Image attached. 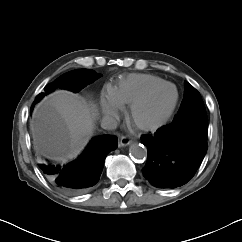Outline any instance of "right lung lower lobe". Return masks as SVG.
I'll use <instances>...</instances> for the list:
<instances>
[{
	"mask_svg": "<svg viewBox=\"0 0 242 242\" xmlns=\"http://www.w3.org/2000/svg\"><path fill=\"white\" fill-rule=\"evenodd\" d=\"M33 109V105H32ZM118 146L117 138L101 135L93 138L79 157L60 166L39 164L46 178L58 189L71 194L84 192L94 186L101 175L107 154Z\"/></svg>",
	"mask_w": 242,
	"mask_h": 242,
	"instance_id": "98d812e1",
	"label": "right lung lower lobe"
}]
</instances>
